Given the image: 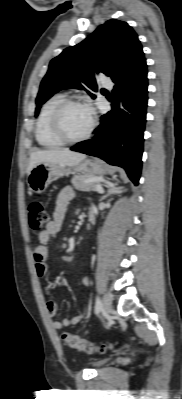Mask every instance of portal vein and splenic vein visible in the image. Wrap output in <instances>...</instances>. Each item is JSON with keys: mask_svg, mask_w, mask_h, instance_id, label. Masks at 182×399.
<instances>
[{"mask_svg": "<svg viewBox=\"0 0 182 399\" xmlns=\"http://www.w3.org/2000/svg\"><path fill=\"white\" fill-rule=\"evenodd\" d=\"M93 181H94V180H89V182H93ZM95 189H96V191L99 192V193H102V192L104 191L101 184H97V185L95 186Z\"/></svg>", "mask_w": 182, "mask_h": 399, "instance_id": "portal-vein-and-splenic-vein-1", "label": "portal vein and splenic vein"}]
</instances>
